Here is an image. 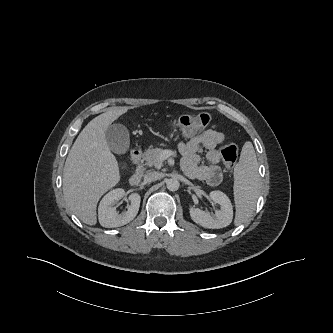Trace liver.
<instances>
[{
    "instance_id": "liver-1",
    "label": "liver",
    "mask_w": 333,
    "mask_h": 333,
    "mask_svg": "<svg viewBox=\"0 0 333 333\" xmlns=\"http://www.w3.org/2000/svg\"><path fill=\"white\" fill-rule=\"evenodd\" d=\"M128 111L116 107L92 119L68 153L63 170L67 206L84 223L95 225L101 196L120 181L119 166L105 139L107 128Z\"/></svg>"
}]
</instances>
